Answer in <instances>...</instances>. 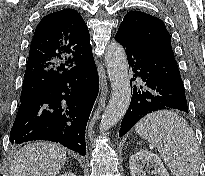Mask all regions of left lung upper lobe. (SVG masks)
<instances>
[{
    "mask_svg": "<svg viewBox=\"0 0 205 176\" xmlns=\"http://www.w3.org/2000/svg\"><path fill=\"white\" fill-rule=\"evenodd\" d=\"M118 32L136 46L159 55L174 57L170 34L165 24L150 14L130 11L125 15Z\"/></svg>",
    "mask_w": 205,
    "mask_h": 176,
    "instance_id": "1",
    "label": "left lung upper lobe"
}]
</instances>
